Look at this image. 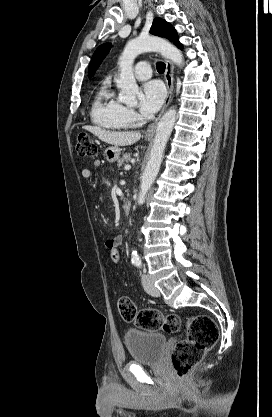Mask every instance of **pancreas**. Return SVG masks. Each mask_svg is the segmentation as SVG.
Wrapping results in <instances>:
<instances>
[{"instance_id": "cf45deb5", "label": "pancreas", "mask_w": 272, "mask_h": 417, "mask_svg": "<svg viewBox=\"0 0 272 417\" xmlns=\"http://www.w3.org/2000/svg\"><path fill=\"white\" fill-rule=\"evenodd\" d=\"M131 160V154L130 153H126L122 156V158H120L118 160V167H121L122 165H124L125 163H128Z\"/></svg>"}]
</instances>
